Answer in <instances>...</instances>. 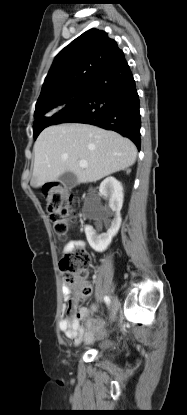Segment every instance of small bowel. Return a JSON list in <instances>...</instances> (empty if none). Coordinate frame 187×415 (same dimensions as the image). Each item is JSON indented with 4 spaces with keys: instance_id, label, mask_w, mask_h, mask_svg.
<instances>
[{
    "instance_id": "obj_1",
    "label": "small bowel",
    "mask_w": 187,
    "mask_h": 415,
    "mask_svg": "<svg viewBox=\"0 0 187 415\" xmlns=\"http://www.w3.org/2000/svg\"><path fill=\"white\" fill-rule=\"evenodd\" d=\"M84 246L83 241L73 240L65 245L64 252ZM63 291L68 304L65 308L66 316L60 321V329L67 338L73 341L74 345H79L83 339L88 343L92 342L91 329L95 322L92 315L98 312L99 306L93 304L90 307L77 308V302L68 299V288L66 286H64Z\"/></svg>"
}]
</instances>
